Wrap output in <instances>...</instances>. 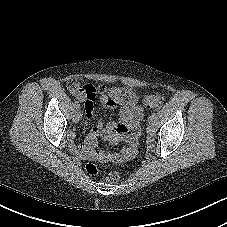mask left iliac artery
I'll return each mask as SVG.
<instances>
[{
	"label": "left iliac artery",
	"instance_id": "obj_1",
	"mask_svg": "<svg viewBox=\"0 0 227 227\" xmlns=\"http://www.w3.org/2000/svg\"><path fill=\"white\" fill-rule=\"evenodd\" d=\"M155 116H156V110H153L151 116L149 117V119L153 120L155 118Z\"/></svg>",
	"mask_w": 227,
	"mask_h": 227
}]
</instances>
